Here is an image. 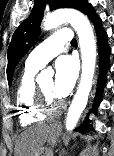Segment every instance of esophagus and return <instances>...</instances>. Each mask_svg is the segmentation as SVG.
I'll return each instance as SVG.
<instances>
[{"mask_svg":"<svg viewBox=\"0 0 114 156\" xmlns=\"http://www.w3.org/2000/svg\"><path fill=\"white\" fill-rule=\"evenodd\" d=\"M54 127H55V128L61 127V123H60V122L55 123Z\"/></svg>","mask_w":114,"mask_h":156,"instance_id":"1","label":"esophagus"}]
</instances>
